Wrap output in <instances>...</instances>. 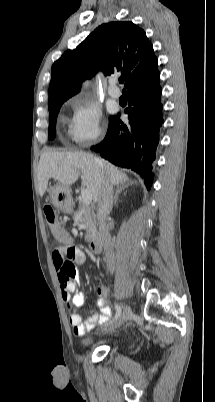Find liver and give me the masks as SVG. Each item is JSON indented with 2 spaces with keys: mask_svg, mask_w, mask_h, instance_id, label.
<instances>
[{
  "mask_svg": "<svg viewBox=\"0 0 215 402\" xmlns=\"http://www.w3.org/2000/svg\"><path fill=\"white\" fill-rule=\"evenodd\" d=\"M81 175L82 187L88 189L95 202L98 201L102 174L107 175L110 183L119 185L128 180L125 173L110 162L85 152H44L38 166V193L42 197L53 178L63 186L75 183Z\"/></svg>",
  "mask_w": 215,
  "mask_h": 402,
  "instance_id": "obj_1",
  "label": "liver"
}]
</instances>
